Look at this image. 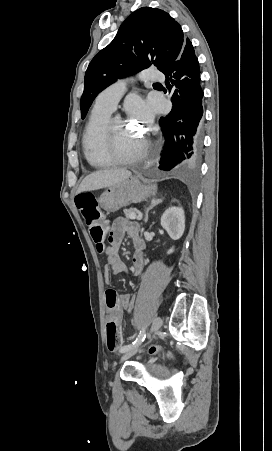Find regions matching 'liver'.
Here are the masks:
<instances>
[{
	"label": "liver",
	"mask_w": 272,
	"mask_h": 451,
	"mask_svg": "<svg viewBox=\"0 0 272 451\" xmlns=\"http://www.w3.org/2000/svg\"><path fill=\"white\" fill-rule=\"evenodd\" d=\"M131 172L126 168H114V170H97L93 174L86 176L82 180L76 194L80 192H87V190H100V188H108L113 184H118L126 178H130Z\"/></svg>",
	"instance_id": "6515ba94"
}]
</instances>
